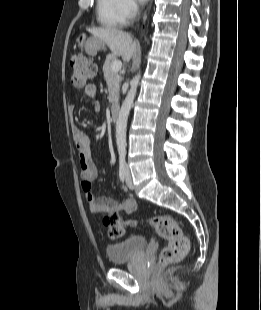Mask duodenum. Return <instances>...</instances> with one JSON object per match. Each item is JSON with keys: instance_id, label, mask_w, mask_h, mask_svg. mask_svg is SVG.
I'll list each match as a JSON object with an SVG mask.
<instances>
[{"instance_id": "410a0bca", "label": "duodenum", "mask_w": 261, "mask_h": 310, "mask_svg": "<svg viewBox=\"0 0 261 310\" xmlns=\"http://www.w3.org/2000/svg\"><path fill=\"white\" fill-rule=\"evenodd\" d=\"M120 107L118 104L114 103L110 107L109 117L111 121H116L119 114Z\"/></svg>"}]
</instances>
